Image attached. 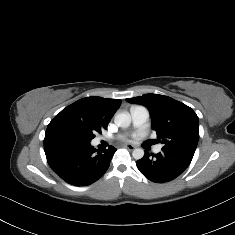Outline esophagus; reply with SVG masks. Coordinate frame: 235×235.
I'll list each match as a JSON object with an SVG mask.
<instances>
[{"mask_svg":"<svg viewBox=\"0 0 235 235\" xmlns=\"http://www.w3.org/2000/svg\"><path fill=\"white\" fill-rule=\"evenodd\" d=\"M123 146H124L126 149L130 150V151H132V150L135 149V146H134V145H131V144H124Z\"/></svg>","mask_w":235,"mask_h":235,"instance_id":"1","label":"esophagus"}]
</instances>
